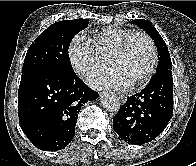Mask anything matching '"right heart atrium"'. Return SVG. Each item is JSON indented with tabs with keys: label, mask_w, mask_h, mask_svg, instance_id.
Here are the masks:
<instances>
[{
	"label": "right heart atrium",
	"mask_w": 196,
	"mask_h": 166,
	"mask_svg": "<svg viewBox=\"0 0 196 166\" xmlns=\"http://www.w3.org/2000/svg\"><path fill=\"white\" fill-rule=\"evenodd\" d=\"M69 59L75 71L82 77L105 67L108 59L104 57L93 43L82 36L72 39L69 47Z\"/></svg>",
	"instance_id": "d8ad5b80"
}]
</instances>
